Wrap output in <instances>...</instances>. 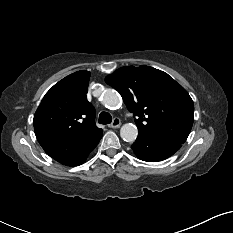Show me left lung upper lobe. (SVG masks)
Segmentation results:
<instances>
[{"label":"left lung upper lobe","instance_id":"obj_1","mask_svg":"<svg viewBox=\"0 0 233 233\" xmlns=\"http://www.w3.org/2000/svg\"><path fill=\"white\" fill-rule=\"evenodd\" d=\"M137 116L139 134L184 143L193 125L194 105L187 91L153 67H121L106 76Z\"/></svg>","mask_w":233,"mask_h":233}]
</instances>
